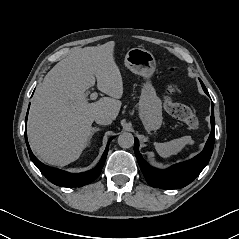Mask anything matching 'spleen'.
<instances>
[{
	"mask_svg": "<svg viewBox=\"0 0 239 239\" xmlns=\"http://www.w3.org/2000/svg\"><path fill=\"white\" fill-rule=\"evenodd\" d=\"M187 144H193V140L190 136H183L181 138L173 139L169 142H164V143H159V142L154 143L156 151L163 158H167L177 154Z\"/></svg>",
	"mask_w": 239,
	"mask_h": 239,
	"instance_id": "obj_1",
	"label": "spleen"
}]
</instances>
